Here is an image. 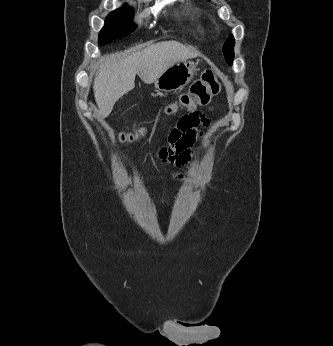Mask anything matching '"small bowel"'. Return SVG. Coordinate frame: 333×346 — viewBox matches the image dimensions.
<instances>
[{
  "instance_id": "obj_1",
  "label": "small bowel",
  "mask_w": 333,
  "mask_h": 346,
  "mask_svg": "<svg viewBox=\"0 0 333 346\" xmlns=\"http://www.w3.org/2000/svg\"><path fill=\"white\" fill-rule=\"evenodd\" d=\"M208 124V120L202 118V115L183 116L171 130L168 144L159 151L160 160L176 166L188 164L195 156L191 145L195 139L202 137L200 128L207 127ZM177 177L179 178L180 174Z\"/></svg>"
}]
</instances>
